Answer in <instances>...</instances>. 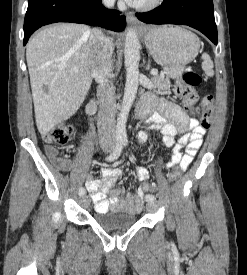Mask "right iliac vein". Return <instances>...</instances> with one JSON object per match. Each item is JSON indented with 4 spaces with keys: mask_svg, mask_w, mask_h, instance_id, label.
<instances>
[{
    "mask_svg": "<svg viewBox=\"0 0 247 275\" xmlns=\"http://www.w3.org/2000/svg\"><path fill=\"white\" fill-rule=\"evenodd\" d=\"M106 150H108V149L106 148ZM80 202L83 207H88L90 204V199L87 196L83 195L80 197Z\"/></svg>",
    "mask_w": 247,
    "mask_h": 275,
    "instance_id": "63e3f726",
    "label": "right iliac vein"
}]
</instances>
